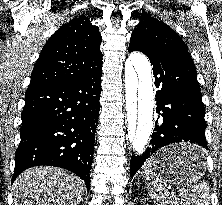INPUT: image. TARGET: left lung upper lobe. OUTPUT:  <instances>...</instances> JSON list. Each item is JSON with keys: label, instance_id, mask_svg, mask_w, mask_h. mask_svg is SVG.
<instances>
[{"label": "left lung upper lobe", "instance_id": "5c2ea615", "mask_svg": "<svg viewBox=\"0 0 222 205\" xmlns=\"http://www.w3.org/2000/svg\"><path fill=\"white\" fill-rule=\"evenodd\" d=\"M139 21L132 32L130 43L148 50L175 51L190 57L187 45L167 24L147 13H143Z\"/></svg>", "mask_w": 222, "mask_h": 205}]
</instances>
